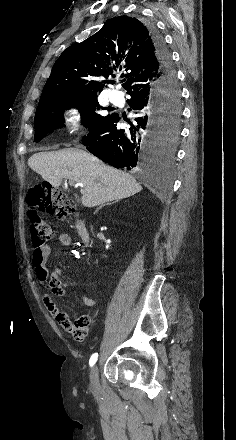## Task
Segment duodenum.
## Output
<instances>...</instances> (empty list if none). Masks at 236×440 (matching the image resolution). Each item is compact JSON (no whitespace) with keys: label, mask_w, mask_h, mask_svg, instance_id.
Masks as SVG:
<instances>
[{"label":"duodenum","mask_w":236,"mask_h":440,"mask_svg":"<svg viewBox=\"0 0 236 440\" xmlns=\"http://www.w3.org/2000/svg\"><path fill=\"white\" fill-rule=\"evenodd\" d=\"M75 228L81 240L88 245L90 243V234L85 221L83 219H78L75 223Z\"/></svg>","instance_id":"410a0bca"}]
</instances>
